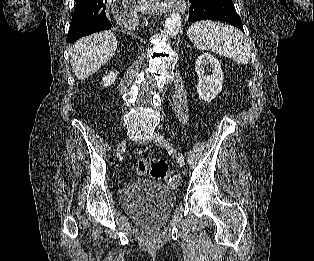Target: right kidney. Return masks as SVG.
Segmentation results:
<instances>
[{
    "label": "right kidney",
    "mask_w": 314,
    "mask_h": 261,
    "mask_svg": "<svg viewBox=\"0 0 314 261\" xmlns=\"http://www.w3.org/2000/svg\"><path fill=\"white\" fill-rule=\"evenodd\" d=\"M117 72H110L108 75H105L103 78V83L105 87L110 86L111 84L114 83L116 77H117Z\"/></svg>",
    "instance_id": "ca27d5eb"
}]
</instances>
